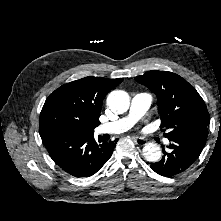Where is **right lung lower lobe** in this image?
<instances>
[{"label": "right lung lower lobe", "mask_w": 221, "mask_h": 221, "mask_svg": "<svg viewBox=\"0 0 221 221\" xmlns=\"http://www.w3.org/2000/svg\"><path fill=\"white\" fill-rule=\"evenodd\" d=\"M53 161L68 174L89 177L111 157L115 141L106 142L93 134L53 132L40 135Z\"/></svg>", "instance_id": "right-lung-lower-lobe-1"}]
</instances>
